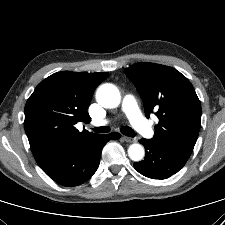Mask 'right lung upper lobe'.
Instances as JSON below:
<instances>
[{"instance_id":"1","label":"right lung upper lobe","mask_w":225,"mask_h":225,"mask_svg":"<svg viewBox=\"0 0 225 225\" xmlns=\"http://www.w3.org/2000/svg\"><path fill=\"white\" fill-rule=\"evenodd\" d=\"M108 73L63 71L52 74L35 88L25 106L24 127L36 162L66 143L96 134L79 132L77 122L89 123L87 112L95 88Z\"/></svg>"}]
</instances>
